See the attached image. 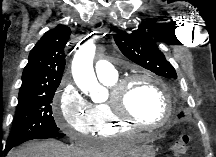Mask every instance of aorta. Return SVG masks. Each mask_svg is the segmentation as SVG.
<instances>
[{
    "label": "aorta",
    "mask_w": 216,
    "mask_h": 157,
    "mask_svg": "<svg viewBox=\"0 0 216 157\" xmlns=\"http://www.w3.org/2000/svg\"><path fill=\"white\" fill-rule=\"evenodd\" d=\"M95 45L92 41L83 44L72 62V75L76 85L84 93H91L94 101L104 98V88L100 86L93 70Z\"/></svg>",
    "instance_id": "aorta-1"
}]
</instances>
